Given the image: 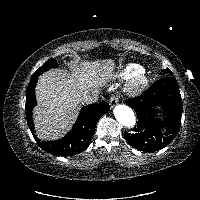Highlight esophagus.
I'll list each match as a JSON object with an SVG mask.
<instances>
[{"label": "esophagus", "mask_w": 200, "mask_h": 200, "mask_svg": "<svg viewBox=\"0 0 200 200\" xmlns=\"http://www.w3.org/2000/svg\"><path fill=\"white\" fill-rule=\"evenodd\" d=\"M119 102V97L117 95H112L110 100H109V104L111 108H114Z\"/></svg>", "instance_id": "obj_1"}]
</instances>
